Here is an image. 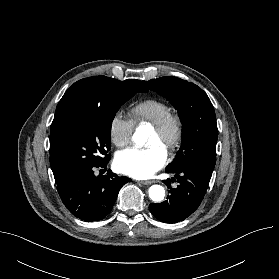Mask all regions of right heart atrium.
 I'll list each match as a JSON object with an SVG mask.
<instances>
[{"label":"right heart atrium","mask_w":279,"mask_h":279,"mask_svg":"<svg viewBox=\"0 0 279 279\" xmlns=\"http://www.w3.org/2000/svg\"><path fill=\"white\" fill-rule=\"evenodd\" d=\"M133 130V121L121 112H116L109 121V138L117 147H124L130 142Z\"/></svg>","instance_id":"1"}]
</instances>
